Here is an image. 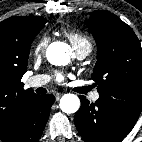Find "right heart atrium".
<instances>
[{
    "label": "right heart atrium",
    "mask_w": 142,
    "mask_h": 142,
    "mask_svg": "<svg viewBox=\"0 0 142 142\" xmlns=\"http://www.w3.org/2000/svg\"><path fill=\"white\" fill-rule=\"evenodd\" d=\"M48 42L49 38L47 36H42L41 38H39V40L33 46V55L36 57L41 56L44 53Z\"/></svg>",
    "instance_id": "1"
}]
</instances>
